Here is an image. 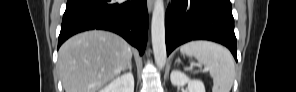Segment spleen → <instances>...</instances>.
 Returning a JSON list of instances; mask_svg holds the SVG:
<instances>
[{
    "instance_id": "obj_1",
    "label": "spleen",
    "mask_w": 296,
    "mask_h": 92,
    "mask_svg": "<svg viewBox=\"0 0 296 92\" xmlns=\"http://www.w3.org/2000/svg\"><path fill=\"white\" fill-rule=\"evenodd\" d=\"M181 53L193 55L200 64L208 67L213 76V92H230L235 67L230 52L209 41H191L181 46Z\"/></svg>"
}]
</instances>
